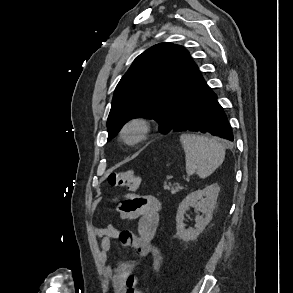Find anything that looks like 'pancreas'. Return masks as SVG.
<instances>
[{"mask_svg": "<svg viewBox=\"0 0 293 293\" xmlns=\"http://www.w3.org/2000/svg\"><path fill=\"white\" fill-rule=\"evenodd\" d=\"M164 188L166 189V190H171V193L172 194H176V193H178L180 190H182L183 189V187L182 186H180L179 184H174V186H169V185H167V184H165L164 185Z\"/></svg>", "mask_w": 293, "mask_h": 293, "instance_id": "obj_1", "label": "pancreas"}]
</instances>
